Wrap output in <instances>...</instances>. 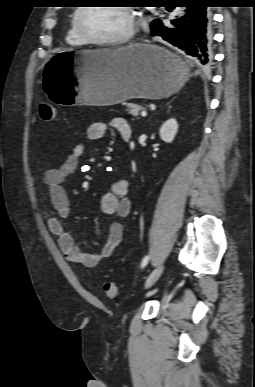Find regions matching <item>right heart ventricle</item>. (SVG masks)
<instances>
[{
    "label": "right heart ventricle",
    "mask_w": 255,
    "mask_h": 387,
    "mask_svg": "<svg viewBox=\"0 0 255 387\" xmlns=\"http://www.w3.org/2000/svg\"><path fill=\"white\" fill-rule=\"evenodd\" d=\"M74 15H75V11L72 14L70 24L66 33V42L72 46H83L86 44V42L79 37V35L75 30Z\"/></svg>",
    "instance_id": "obj_1"
}]
</instances>
